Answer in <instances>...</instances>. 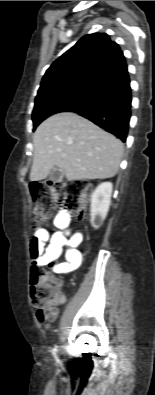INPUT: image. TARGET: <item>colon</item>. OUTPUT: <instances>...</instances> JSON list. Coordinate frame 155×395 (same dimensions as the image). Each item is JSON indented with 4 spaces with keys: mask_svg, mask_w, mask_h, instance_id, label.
Here are the masks:
<instances>
[{
    "mask_svg": "<svg viewBox=\"0 0 155 395\" xmlns=\"http://www.w3.org/2000/svg\"><path fill=\"white\" fill-rule=\"evenodd\" d=\"M32 197V222L40 227L54 213L58 204L78 219L85 215L87 199L92 184L87 180L66 179L61 181L35 182L30 186ZM53 268V263L48 264ZM31 302L38 311L55 309L63 301L59 281L44 266H32L30 276Z\"/></svg>",
    "mask_w": 155,
    "mask_h": 395,
    "instance_id": "colon-1",
    "label": "colon"
}]
</instances>
